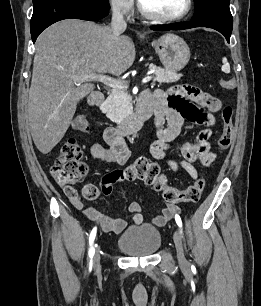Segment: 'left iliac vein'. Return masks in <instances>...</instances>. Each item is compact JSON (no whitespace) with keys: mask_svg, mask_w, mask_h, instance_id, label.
I'll list each match as a JSON object with an SVG mask.
<instances>
[{"mask_svg":"<svg viewBox=\"0 0 261 306\" xmlns=\"http://www.w3.org/2000/svg\"><path fill=\"white\" fill-rule=\"evenodd\" d=\"M176 251H177V258L179 261V264L182 267L187 266V260L184 255V249H183V236L182 233L179 230H176L173 235Z\"/></svg>","mask_w":261,"mask_h":306,"instance_id":"obj_1","label":"left iliac vein"}]
</instances>
